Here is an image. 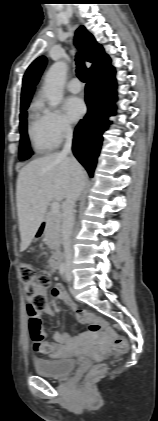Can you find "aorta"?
Listing matches in <instances>:
<instances>
[{
    "mask_svg": "<svg viewBox=\"0 0 158 421\" xmlns=\"http://www.w3.org/2000/svg\"><path fill=\"white\" fill-rule=\"evenodd\" d=\"M67 73V65L64 62L54 63L45 75L43 92L47 96L52 107H57L63 99V87Z\"/></svg>",
    "mask_w": 158,
    "mask_h": 421,
    "instance_id": "aorta-1",
    "label": "aorta"
}]
</instances>
